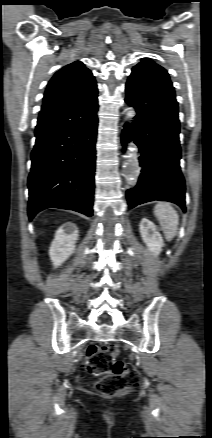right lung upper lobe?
Segmentation results:
<instances>
[{
	"mask_svg": "<svg viewBox=\"0 0 212 438\" xmlns=\"http://www.w3.org/2000/svg\"><path fill=\"white\" fill-rule=\"evenodd\" d=\"M97 92L91 71L76 61L52 77L44 94L42 110L79 104L96 97Z\"/></svg>",
	"mask_w": 212,
	"mask_h": 438,
	"instance_id": "1",
	"label": "right lung upper lobe"
}]
</instances>
